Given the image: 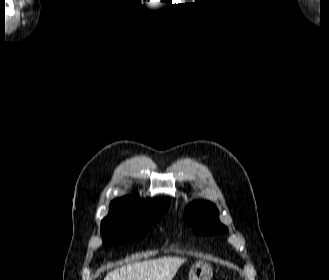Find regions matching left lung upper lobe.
<instances>
[{"label":"left lung upper lobe","instance_id":"1","mask_svg":"<svg viewBox=\"0 0 329 280\" xmlns=\"http://www.w3.org/2000/svg\"><path fill=\"white\" fill-rule=\"evenodd\" d=\"M183 220L197 234H222L228 229L220 223L218 210L210 202H193L186 208Z\"/></svg>","mask_w":329,"mask_h":280}]
</instances>
